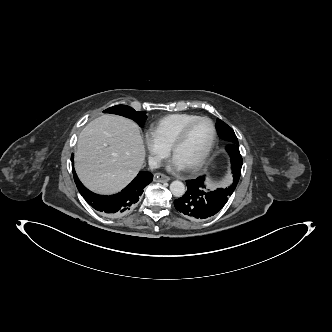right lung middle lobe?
Returning <instances> with one entry per match:
<instances>
[{"instance_id": "right-lung-middle-lobe-1", "label": "right lung middle lobe", "mask_w": 332, "mask_h": 332, "mask_svg": "<svg viewBox=\"0 0 332 332\" xmlns=\"http://www.w3.org/2000/svg\"><path fill=\"white\" fill-rule=\"evenodd\" d=\"M105 113L118 114L134 120L139 126H143L146 119L145 112L135 111L133 108L127 105H116L104 110Z\"/></svg>"}]
</instances>
